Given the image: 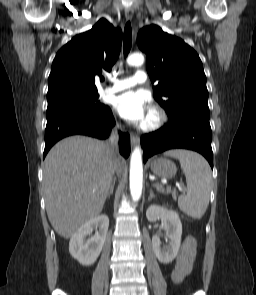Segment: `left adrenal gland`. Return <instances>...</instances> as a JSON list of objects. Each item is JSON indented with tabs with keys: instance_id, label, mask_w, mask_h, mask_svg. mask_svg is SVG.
Masks as SVG:
<instances>
[{
	"instance_id": "a2214340",
	"label": "left adrenal gland",
	"mask_w": 256,
	"mask_h": 295,
	"mask_svg": "<svg viewBox=\"0 0 256 295\" xmlns=\"http://www.w3.org/2000/svg\"><path fill=\"white\" fill-rule=\"evenodd\" d=\"M153 197H155V194H154V192H153V190H152V188L150 189V195H149V197H148V200H151Z\"/></svg>"
}]
</instances>
